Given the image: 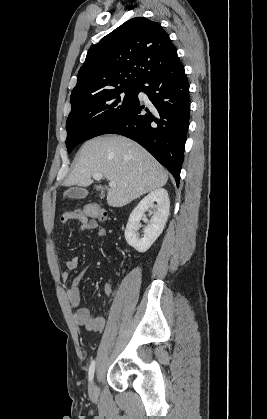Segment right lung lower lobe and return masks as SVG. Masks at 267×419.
Masks as SVG:
<instances>
[{
  "instance_id": "right-lung-lower-lobe-1",
  "label": "right lung lower lobe",
  "mask_w": 267,
  "mask_h": 419,
  "mask_svg": "<svg viewBox=\"0 0 267 419\" xmlns=\"http://www.w3.org/2000/svg\"><path fill=\"white\" fill-rule=\"evenodd\" d=\"M148 95V109L135 101L105 133L133 139L151 153L179 184L190 117L189 83L180 60L148 75L138 92ZM146 111L147 113H144Z\"/></svg>"
}]
</instances>
